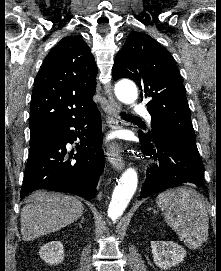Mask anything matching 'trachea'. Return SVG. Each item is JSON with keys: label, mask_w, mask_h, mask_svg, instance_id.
<instances>
[{"label": "trachea", "mask_w": 221, "mask_h": 271, "mask_svg": "<svg viewBox=\"0 0 221 271\" xmlns=\"http://www.w3.org/2000/svg\"><path fill=\"white\" fill-rule=\"evenodd\" d=\"M120 116L125 119L126 121L132 120V119H139V116H133L129 115L128 113H120Z\"/></svg>", "instance_id": "trachea-1"}]
</instances>
